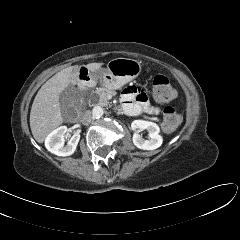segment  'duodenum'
Wrapping results in <instances>:
<instances>
[{
  "label": "duodenum",
  "instance_id": "1",
  "mask_svg": "<svg viewBox=\"0 0 240 240\" xmlns=\"http://www.w3.org/2000/svg\"><path fill=\"white\" fill-rule=\"evenodd\" d=\"M80 79H81V85L83 88L91 84V78L87 73H83Z\"/></svg>",
  "mask_w": 240,
  "mask_h": 240
}]
</instances>
